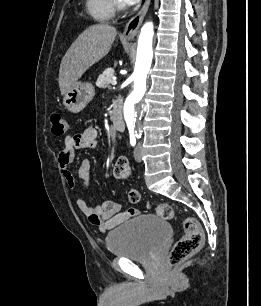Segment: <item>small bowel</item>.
<instances>
[{"mask_svg":"<svg viewBox=\"0 0 261 306\" xmlns=\"http://www.w3.org/2000/svg\"><path fill=\"white\" fill-rule=\"evenodd\" d=\"M98 146V131L94 127H87L75 135H67L64 138V148L58 155V164L67 184L74 188L77 185V178L70 170L75 156L76 149H95ZM91 162L88 159L81 161L78 168V178L83 188L88 187L90 182ZM77 207L88 218L91 224L101 232L113 229L129 218L137 214V209L131 208L120 211V205L111 200H105L101 204L91 206L87 201L78 197Z\"/></svg>","mask_w":261,"mask_h":306,"instance_id":"c3829d8e","label":"small bowel"}]
</instances>
